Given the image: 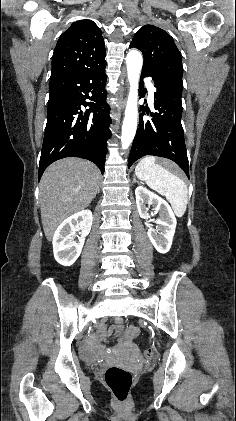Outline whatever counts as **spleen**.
<instances>
[{"mask_svg": "<svg viewBox=\"0 0 236 421\" xmlns=\"http://www.w3.org/2000/svg\"><path fill=\"white\" fill-rule=\"evenodd\" d=\"M135 174L140 180H145L153 190L166 196L176 217H183L188 202V188L184 180L158 164L155 156L141 158L135 168Z\"/></svg>", "mask_w": 236, "mask_h": 421, "instance_id": "3e777b00", "label": "spleen"}]
</instances>
